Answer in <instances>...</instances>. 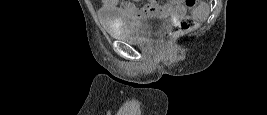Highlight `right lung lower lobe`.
Returning a JSON list of instances; mask_svg holds the SVG:
<instances>
[{
	"label": "right lung lower lobe",
	"instance_id": "right-lung-lower-lobe-1",
	"mask_svg": "<svg viewBox=\"0 0 267 115\" xmlns=\"http://www.w3.org/2000/svg\"><path fill=\"white\" fill-rule=\"evenodd\" d=\"M152 88H159L160 89V87H152Z\"/></svg>",
	"mask_w": 267,
	"mask_h": 115
}]
</instances>
